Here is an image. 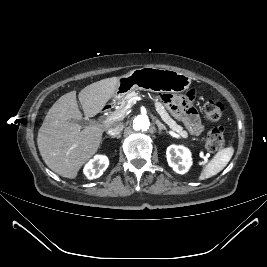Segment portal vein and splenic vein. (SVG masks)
I'll use <instances>...</instances> for the list:
<instances>
[{"mask_svg": "<svg viewBox=\"0 0 267 267\" xmlns=\"http://www.w3.org/2000/svg\"><path fill=\"white\" fill-rule=\"evenodd\" d=\"M138 100H141L140 97H134L132 99H130L125 107V109L121 110V111H115L113 112L107 119L106 121L109 122V121H114V120H117V119H120L122 118L125 113L136 103V101Z\"/></svg>", "mask_w": 267, "mask_h": 267, "instance_id": "portal-vein-and-splenic-vein-1", "label": "portal vein and splenic vein"}]
</instances>
